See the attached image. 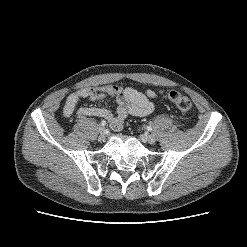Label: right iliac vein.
<instances>
[{
	"instance_id": "1",
	"label": "right iliac vein",
	"mask_w": 247,
	"mask_h": 247,
	"mask_svg": "<svg viewBox=\"0 0 247 247\" xmlns=\"http://www.w3.org/2000/svg\"><path fill=\"white\" fill-rule=\"evenodd\" d=\"M98 132L100 133L101 136H103L104 132H105V128L102 125H99L98 126Z\"/></svg>"
}]
</instances>
